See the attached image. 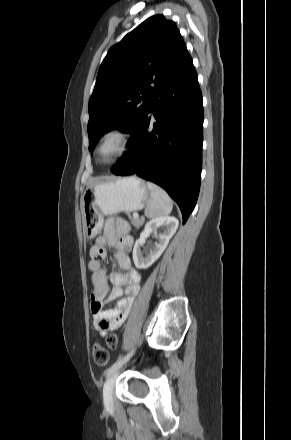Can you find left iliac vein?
I'll return each mask as SVG.
<instances>
[{
	"label": "left iliac vein",
	"instance_id": "left-iliac-vein-1",
	"mask_svg": "<svg viewBox=\"0 0 291 440\" xmlns=\"http://www.w3.org/2000/svg\"><path fill=\"white\" fill-rule=\"evenodd\" d=\"M119 369V368H118ZM118 374V371H114L109 378L107 379L104 388H103V396H104V401L106 404H110L112 402V397H113V387H114V383H115V379L116 376Z\"/></svg>",
	"mask_w": 291,
	"mask_h": 440
}]
</instances>
